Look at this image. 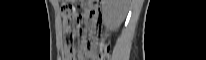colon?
<instances>
[{"label":"colon","instance_id":"5ec220e1","mask_svg":"<svg viewBox=\"0 0 206 60\" xmlns=\"http://www.w3.org/2000/svg\"><path fill=\"white\" fill-rule=\"evenodd\" d=\"M62 16L69 39L72 41L77 36L80 27L77 8L72 4H64L62 6ZM87 48L95 52L96 60H108V47L104 41L89 40L87 42Z\"/></svg>","mask_w":206,"mask_h":60}]
</instances>
